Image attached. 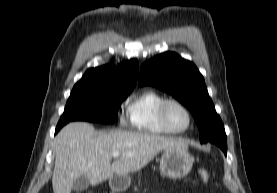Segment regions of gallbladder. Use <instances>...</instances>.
<instances>
[{
	"instance_id": "obj_1",
	"label": "gallbladder",
	"mask_w": 277,
	"mask_h": 193,
	"mask_svg": "<svg viewBox=\"0 0 277 193\" xmlns=\"http://www.w3.org/2000/svg\"><path fill=\"white\" fill-rule=\"evenodd\" d=\"M90 183L88 179L84 176H80L77 179H75L73 183V190L76 191H84L89 187Z\"/></svg>"
}]
</instances>
